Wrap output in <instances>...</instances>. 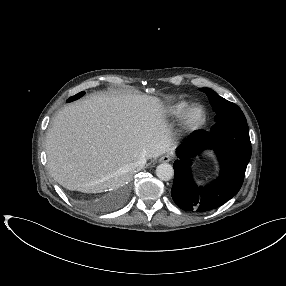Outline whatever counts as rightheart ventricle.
I'll return each mask as SVG.
<instances>
[{
	"mask_svg": "<svg viewBox=\"0 0 286 286\" xmlns=\"http://www.w3.org/2000/svg\"><path fill=\"white\" fill-rule=\"evenodd\" d=\"M189 106L190 104L187 101H174L164 105L161 108L160 113L162 117L166 119H180L183 117Z\"/></svg>",
	"mask_w": 286,
	"mask_h": 286,
	"instance_id": "right-heart-ventricle-1",
	"label": "right heart ventricle"
}]
</instances>
